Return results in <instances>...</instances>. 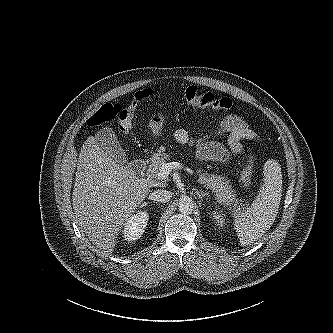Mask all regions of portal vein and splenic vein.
Returning <instances> with one entry per match:
<instances>
[{
	"mask_svg": "<svg viewBox=\"0 0 333 333\" xmlns=\"http://www.w3.org/2000/svg\"><path fill=\"white\" fill-rule=\"evenodd\" d=\"M180 167H181L180 163H178V162H166V163H164L161 166L159 173L157 174L158 179L159 178L166 179L169 176V174L172 172V170H177Z\"/></svg>",
	"mask_w": 333,
	"mask_h": 333,
	"instance_id": "portal-vein-and-splenic-vein-1",
	"label": "portal vein and splenic vein"
}]
</instances>
